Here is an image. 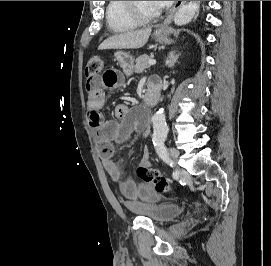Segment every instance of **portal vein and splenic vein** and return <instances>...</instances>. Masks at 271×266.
Returning <instances> with one entry per match:
<instances>
[{
	"label": "portal vein and splenic vein",
	"instance_id": "portal-vein-and-splenic-vein-1",
	"mask_svg": "<svg viewBox=\"0 0 271 266\" xmlns=\"http://www.w3.org/2000/svg\"><path fill=\"white\" fill-rule=\"evenodd\" d=\"M155 64H156V60L151 59V60L148 61L149 66H153Z\"/></svg>",
	"mask_w": 271,
	"mask_h": 266
}]
</instances>
